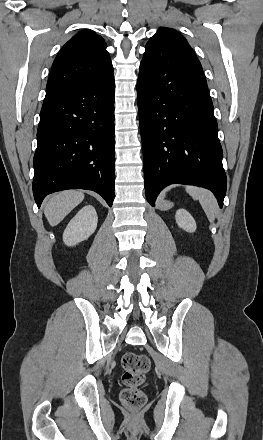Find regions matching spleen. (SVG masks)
<instances>
[{
  "mask_svg": "<svg viewBox=\"0 0 263 440\" xmlns=\"http://www.w3.org/2000/svg\"><path fill=\"white\" fill-rule=\"evenodd\" d=\"M185 189L193 199L199 200L208 220L213 222L218 212V204L214 195L201 187L186 186Z\"/></svg>",
  "mask_w": 263,
  "mask_h": 440,
  "instance_id": "3e777b00",
  "label": "spleen"
}]
</instances>
